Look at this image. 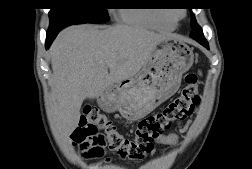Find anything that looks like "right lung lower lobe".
Returning a JSON list of instances; mask_svg holds the SVG:
<instances>
[{
    "instance_id": "1",
    "label": "right lung lower lobe",
    "mask_w": 252,
    "mask_h": 169,
    "mask_svg": "<svg viewBox=\"0 0 252 169\" xmlns=\"http://www.w3.org/2000/svg\"><path fill=\"white\" fill-rule=\"evenodd\" d=\"M59 31L60 30L48 31L47 32L46 49L49 48V46L51 45L52 41L56 38V36L59 33Z\"/></svg>"
}]
</instances>
